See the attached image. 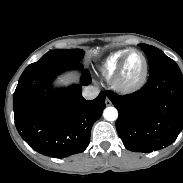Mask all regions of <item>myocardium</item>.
Wrapping results in <instances>:
<instances>
[{"instance_id": "f54148a6", "label": "myocardium", "mask_w": 183, "mask_h": 183, "mask_svg": "<svg viewBox=\"0 0 183 183\" xmlns=\"http://www.w3.org/2000/svg\"><path fill=\"white\" fill-rule=\"evenodd\" d=\"M133 53H136L141 57L142 70L139 76L135 80L127 81L123 77L124 68H125L128 57ZM147 76H148V61L146 56L144 55L143 52H141L138 49H131V50H128V52L121 59L119 65L117 66L112 76L111 83L113 88L116 91L123 94H129L139 90L145 84Z\"/></svg>"}]
</instances>
